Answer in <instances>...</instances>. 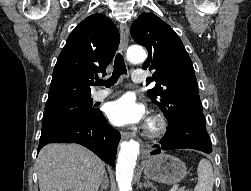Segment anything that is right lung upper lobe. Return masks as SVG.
Here are the masks:
<instances>
[{"instance_id":"obj_1","label":"right lung upper lobe","mask_w":251,"mask_h":191,"mask_svg":"<svg viewBox=\"0 0 251 191\" xmlns=\"http://www.w3.org/2000/svg\"><path fill=\"white\" fill-rule=\"evenodd\" d=\"M119 45L113 22L96 13L84 19L69 35L55 65L45 108L91 98L90 85L106 67Z\"/></svg>"}]
</instances>
